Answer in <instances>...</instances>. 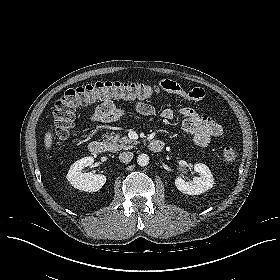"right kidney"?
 Returning a JSON list of instances; mask_svg holds the SVG:
<instances>
[{
  "label": "right kidney",
  "mask_w": 280,
  "mask_h": 280,
  "mask_svg": "<svg viewBox=\"0 0 280 280\" xmlns=\"http://www.w3.org/2000/svg\"><path fill=\"white\" fill-rule=\"evenodd\" d=\"M94 163L93 157H84L72 164L67 180L76 189L86 192H96L100 190L106 182V177L100 174L83 173V169Z\"/></svg>",
  "instance_id": "right-kidney-1"
}]
</instances>
